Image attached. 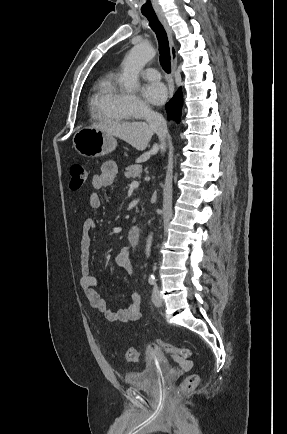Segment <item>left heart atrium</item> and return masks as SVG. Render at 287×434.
Listing matches in <instances>:
<instances>
[{"label": "left heart atrium", "instance_id": "39dd6f15", "mask_svg": "<svg viewBox=\"0 0 287 434\" xmlns=\"http://www.w3.org/2000/svg\"><path fill=\"white\" fill-rule=\"evenodd\" d=\"M144 97L154 105H160L165 102L167 98L166 87L159 82L146 84L142 88Z\"/></svg>", "mask_w": 287, "mask_h": 434}]
</instances>
